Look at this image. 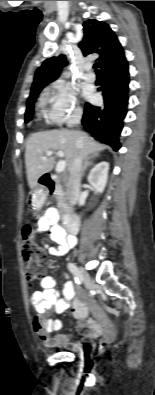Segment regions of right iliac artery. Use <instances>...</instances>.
I'll use <instances>...</instances> for the list:
<instances>
[{
	"label": "right iliac artery",
	"instance_id": "right-iliac-artery-1",
	"mask_svg": "<svg viewBox=\"0 0 155 395\" xmlns=\"http://www.w3.org/2000/svg\"><path fill=\"white\" fill-rule=\"evenodd\" d=\"M67 266H68L69 271L74 275L75 282L77 284H81L82 283V276L79 272V269L76 267V265L74 263H68Z\"/></svg>",
	"mask_w": 155,
	"mask_h": 395
}]
</instances>
